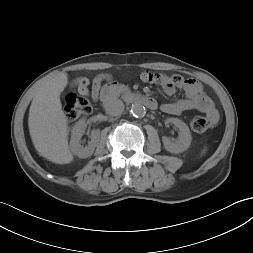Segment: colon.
<instances>
[{"instance_id": "5ec220e1", "label": "colon", "mask_w": 253, "mask_h": 253, "mask_svg": "<svg viewBox=\"0 0 253 253\" xmlns=\"http://www.w3.org/2000/svg\"><path fill=\"white\" fill-rule=\"evenodd\" d=\"M142 74V73H141ZM91 111V104L86 95L69 94L65 100L64 113L69 121ZM210 126V121L204 116H194L190 119V128L195 133H203Z\"/></svg>"}]
</instances>
